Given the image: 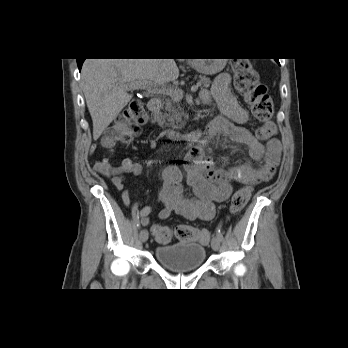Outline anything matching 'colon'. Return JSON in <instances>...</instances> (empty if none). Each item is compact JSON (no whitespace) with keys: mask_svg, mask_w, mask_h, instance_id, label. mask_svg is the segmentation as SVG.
<instances>
[{"mask_svg":"<svg viewBox=\"0 0 348 348\" xmlns=\"http://www.w3.org/2000/svg\"><path fill=\"white\" fill-rule=\"evenodd\" d=\"M234 85L244 97L253 116L260 122L256 135L260 140L270 139L275 132L272 122L274 104L267 87L259 81L258 75L250 60L234 59L232 62ZM147 120L144 106L141 102H133L125 112L119 115L105 130L101 144L105 148H112L118 144L130 142L138 133L139 127ZM251 196L249 187L239 188L232 196L230 211L236 215L242 211ZM152 235L157 242L167 243L173 234L180 241H198L207 244L210 233L190 225H178L174 232L167 226L155 224L151 228Z\"/></svg>","mask_w":348,"mask_h":348,"instance_id":"5ec220e1","label":"colon"}]
</instances>
